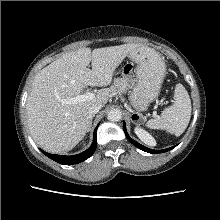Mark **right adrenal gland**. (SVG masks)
Here are the masks:
<instances>
[{
    "label": "right adrenal gland",
    "instance_id": "1",
    "mask_svg": "<svg viewBox=\"0 0 220 220\" xmlns=\"http://www.w3.org/2000/svg\"><path fill=\"white\" fill-rule=\"evenodd\" d=\"M93 117H94V115H93V116H91V120H90V124H89L88 131H89V130H90V128H91V125H92V119H93Z\"/></svg>",
    "mask_w": 220,
    "mask_h": 220
}]
</instances>
